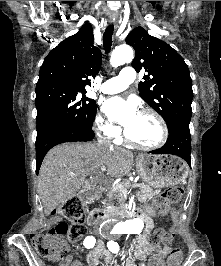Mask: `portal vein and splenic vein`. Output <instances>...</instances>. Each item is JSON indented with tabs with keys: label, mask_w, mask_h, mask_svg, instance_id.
I'll return each instance as SVG.
<instances>
[{
	"label": "portal vein and splenic vein",
	"mask_w": 221,
	"mask_h": 266,
	"mask_svg": "<svg viewBox=\"0 0 221 266\" xmlns=\"http://www.w3.org/2000/svg\"><path fill=\"white\" fill-rule=\"evenodd\" d=\"M101 171H105L106 170V167L105 166H102L101 168ZM122 193L123 192H127V188H125L123 185H121V183H117L115 185Z\"/></svg>",
	"instance_id": "obj_1"
}]
</instances>
